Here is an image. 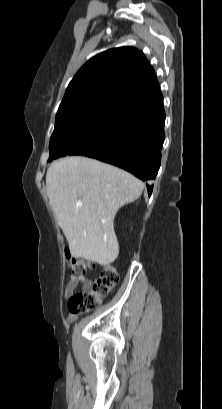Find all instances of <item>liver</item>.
I'll return each mask as SVG.
<instances>
[{
	"mask_svg": "<svg viewBox=\"0 0 222 409\" xmlns=\"http://www.w3.org/2000/svg\"><path fill=\"white\" fill-rule=\"evenodd\" d=\"M46 188L72 256L104 266L114 262L119 254L114 217L141 196L144 184L115 166L70 156L51 164Z\"/></svg>",
	"mask_w": 222,
	"mask_h": 409,
	"instance_id": "liver-1",
	"label": "liver"
}]
</instances>
